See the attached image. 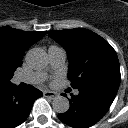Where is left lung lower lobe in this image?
I'll use <instances>...</instances> for the list:
<instances>
[{
    "label": "left lung lower lobe",
    "mask_w": 128,
    "mask_h": 128,
    "mask_svg": "<svg viewBox=\"0 0 128 128\" xmlns=\"http://www.w3.org/2000/svg\"><path fill=\"white\" fill-rule=\"evenodd\" d=\"M118 88L112 84H96L78 89L77 96L71 95L69 110L58 118L73 128L91 127L107 113Z\"/></svg>",
    "instance_id": "left-lung-lower-lobe-1"
}]
</instances>
